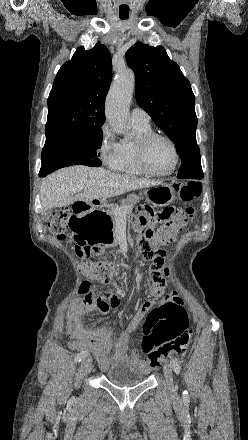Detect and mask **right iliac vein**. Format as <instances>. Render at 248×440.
I'll use <instances>...</instances> for the list:
<instances>
[{
	"label": "right iliac vein",
	"mask_w": 248,
	"mask_h": 440,
	"mask_svg": "<svg viewBox=\"0 0 248 440\" xmlns=\"http://www.w3.org/2000/svg\"><path fill=\"white\" fill-rule=\"evenodd\" d=\"M92 368H93V365H92V360H91V358H89V357L85 358V359L82 361V370H83V372H84L85 374H88V373L91 372Z\"/></svg>",
	"instance_id": "obj_1"
}]
</instances>
